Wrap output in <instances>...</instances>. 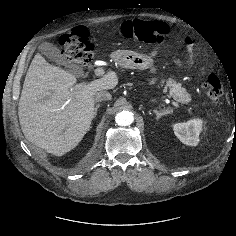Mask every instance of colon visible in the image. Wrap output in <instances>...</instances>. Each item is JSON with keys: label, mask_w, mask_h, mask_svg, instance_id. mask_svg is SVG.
Segmentation results:
<instances>
[{"label": "colon", "mask_w": 236, "mask_h": 236, "mask_svg": "<svg viewBox=\"0 0 236 236\" xmlns=\"http://www.w3.org/2000/svg\"><path fill=\"white\" fill-rule=\"evenodd\" d=\"M120 33L128 39L138 40L147 44L161 43L166 40L169 29L158 21L128 20L120 27ZM59 42L63 47L65 59L80 66L87 65L92 58V44L89 31L84 26H77L63 33ZM205 75V73L203 72ZM203 88L212 99H218L224 92V82L216 74L205 75Z\"/></svg>", "instance_id": "colon-1"}]
</instances>
